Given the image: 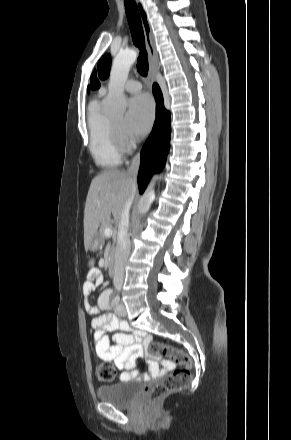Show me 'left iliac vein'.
Here are the masks:
<instances>
[{"label": "left iliac vein", "mask_w": 291, "mask_h": 440, "mask_svg": "<svg viewBox=\"0 0 291 440\" xmlns=\"http://www.w3.org/2000/svg\"><path fill=\"white\" fill-rule=\"evenodd\" d=\"M115 312H116V314H117L119 317H126V315H127L126 308H125L124 305H120V306H118V307L115 309Z\"/></svg>", "instance_id": "4c4485c4"}]
</instances>
